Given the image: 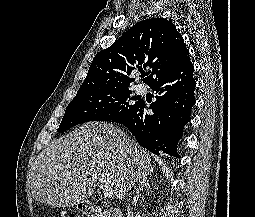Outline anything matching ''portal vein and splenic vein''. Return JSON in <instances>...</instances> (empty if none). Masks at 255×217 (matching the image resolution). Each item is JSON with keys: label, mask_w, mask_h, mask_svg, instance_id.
Here are the masks:
<instances>
[{"label": "portal vein and splenic vein", "mask_w": 255, "mask_h": 217, "mask_svg": "<svg viewBox=\"0 0 255 217\" xmlns=\"http://www.w3.org/2000/svg\"><path fill=\"white\" fill-rule=\"evenodd\" d=\"M98 181L100 183V187L103 189L104 197L111 198L113 196V188L108 184V182L104 178H98Z\"/></svg>", "instance_id": "18ae733b"}]
</instances>
